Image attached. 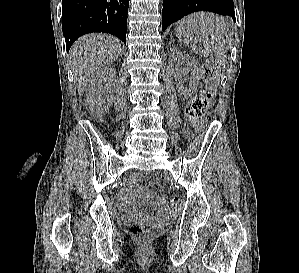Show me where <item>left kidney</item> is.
<instances>
[{
    "label": "left kidney",
    "mask_w": 299,
    "mask_h": 273,
    "mask_svg": "<svg viewBox=\"0 0 299 273\" xmlns=\"http://www.w3.org/2000/svg\"><path fill=\"white\" fill-rule=\"evenodd\" d=\"M177 62L186 63V68L180 69ZM169 65L171 68V73L175 78L180 95L184 97H190L197 90V86L200 80V70L197 66V62L189 55H185L177 49L172 48L169 55ZM188 72H191L189 88H185L183 86L182 77L185 76Z\"/></svg>",
    "instance_id": "5707ae66"
}]
</instances>
